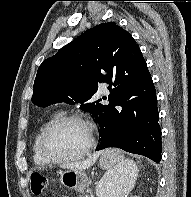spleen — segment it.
<instances>
[{
    "label": "spleen",
    "instance_id": "obj_1",
    "mask_svg": "<svg viewBox=\"0 0 191 197\" xmlns=\"http://www.w3.org/2000/svg\"><path fill=\"white\" fill-rule=\"evenodd\" d=\"M113 152L120 154L118 149H112ZM138 176V167L133 160L122 159L111 170H108L104 180L106 190L99 189V195L102 197H127L134 188Z\"/></svg>",
    "mask_w": 191,
    "mask_h": 197
}]
</instances>
